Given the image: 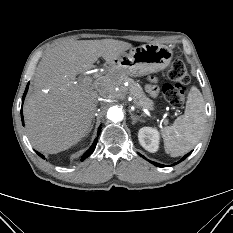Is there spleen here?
<instances>
[{"mask_svg": "<svg viewBox=\"0 0 233 233\" xmlns=\"http://www.w3.org/2000/svg\"><path fill=\"white\" fill-rule=\"evenodd\" d=\"M205 123L203 96L196 87H192L188 94L185 113L171 126L161 130L165 152L172 157H178L190 151L198 143Z\"/></svg>", "mask_w": 233, "mask_h": 233, "instance_id": "spleen-1", "label": "spleen"}]
</instances>
